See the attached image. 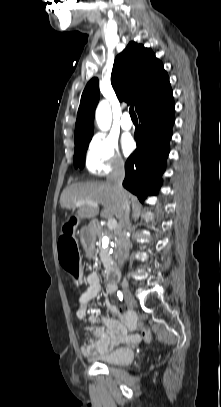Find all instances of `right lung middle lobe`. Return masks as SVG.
<instances>
[{
    "label": "right lung middle lobe",
    "mask_w": 221,
    "mask_h": 407,
    "mask_svg": "<svg viewBox=\"0 0 221 407\" xmlns=\"http://www.w3.org/2000/svg\"><path fill=\"white\" fill-rule=\"evenodd\" d=\"M90 140L91 139L75 144L74 165L76 168H83L85 164V154Z\"/></svg>",
    "instance_id": "obj_1"
}]
</instances>
